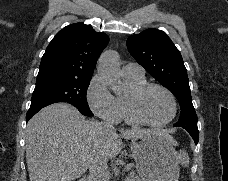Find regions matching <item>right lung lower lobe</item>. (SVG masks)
<instances>
[{"label": "right lung lower lobe", "instance_id": "obj_1", "mask_svg": "<svg viewBox=\"0 0 228 181\" xmlns=\"http://www.w3.org/2000/svg\"><path fill=\"white\" fill-rule=\"evenodd\" d=\"M40 109L42 108H34V109H29L26 115V121H28L34 114H36Z\"/></svg>", "mask_w": 228, "mask_h": 181}]
</instances>
